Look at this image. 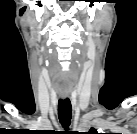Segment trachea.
<instances>
[{"label": "trachea", "mask_w": 137, "mask_h": 134, "mask_svg": "<svg viewBox=\"0 0 137 134\" xmlns=\"http://www.w3.org/2000/svg\"><path fill=\"white\" fill-rule=\"evenodd\" d=\"M72 107L68 98L60 99L58 103V116L62 126L67 129L71 123Z\"/></svg>", "instance_id": "3493384b"}]
</instances>
